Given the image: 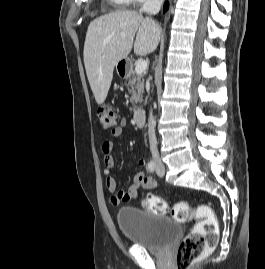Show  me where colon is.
<instances>
[{"label":"colon","mask_w":265,"mask_h":269,"mask_svg":"<svg viewBox=\"0 0 265 269\" xmlns=\"http://www.w3.org/2000/svg\"><path fill=\"white\" fill-rule=\"evenodd\" d=\"M97 115L104 130H113L119 126L118 116L111 107L100 106ZM143 207L155 214H164L168 210L167 202L154 195L143 199ZM193 215L200 220L179 244L176 269H188L208 248L213 247L218 239V222L210 208L198 206L193 210L186 201L177 202L172 208V216L178 222H187Z\"/></svg>","instance_id":"1"}]
</instances>
